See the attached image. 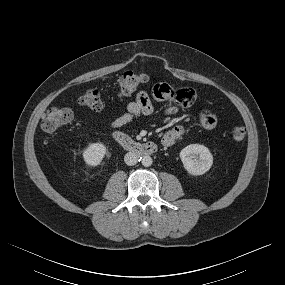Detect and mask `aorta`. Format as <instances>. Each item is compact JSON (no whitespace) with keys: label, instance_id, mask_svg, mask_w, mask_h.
<instances>
[{"label":"aorta","instance_id":"1","mask_svg":"<svg viewBox=\"0 0 285 285\" xmlns=\"http://www.w3.org/2000/svg\"><path fill=\"white\" fill-rule=\"evenodd\" d=\"M152 162H153L152 158L149 155H145V156L141 157V163L145 167L151 166Z\"/></svg>","mask_w":285,"mask_h":285}]
</instances>
